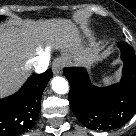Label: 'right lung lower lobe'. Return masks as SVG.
<instances>
[{
	"label": "right lung lower lobe",
	"instance_id": "right-lung-lower-lobe-1",
	"mask_svg": "<svg viewBox=\"0 0 136 136\" xmlns=\"http://www.w3.org/2000/svg\"><path fill=\"white\" fill-rule=\"evenodd\" d=\"M51 77V70L33 75L18 92L0 99V136L21 135L34 126L42 93Z\"/></svg>",
	"mask_w": 136,
	"mask_h": 136
}]
</instances>
